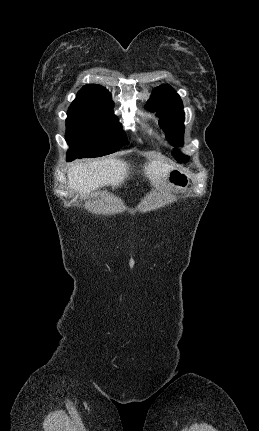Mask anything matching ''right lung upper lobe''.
<instances>
[{"label": "right lung upper lobe", "instance_id": "right-lung-upper-lobe-1", "mask_svg": "<svg viewBox=\"0 0 259 431\" xmlns=\"http://www.w3.org/2000/svg\"><path fill=\"white\" fill-rule=\"evenodd\" d=\"M110 98V93L101 85L87 84L78 92L74 101L100 102Z\"/></svg>", "mask_w": 259, "mask_h": 431}]
</instances>
